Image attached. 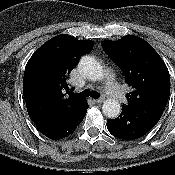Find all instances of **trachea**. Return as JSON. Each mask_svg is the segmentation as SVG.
Instances as JSON below:
<instances>
[{
    "label": "trachea",
    "mask_w": 175,
    "mask_h": 175,
    "mask_svg": "<svg viewBox=\"0 0 175 175\" xmlns=\"http://www.w3.org/2000/svg\"><path fill=\"white\" fill-rule=\"evenodd\" d=\"M74 96L78 98H86L90 96L92 98L98 99L100 94L94 90L85 89L79 94H74Z\"/></svg>",
    "instance_id": "obj_1"
}]
</instances>
